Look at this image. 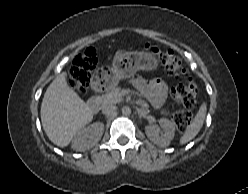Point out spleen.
Segmentation results:
<instances>
[{
	"mask_svg": "<svg viewBox=\"0 0 248 194\" xmlns=\"http://www.w3.org/2000/svg\"><path fill=\"white\" fill-rule=\"evenodd\" d=\"M206 111H207L206 103H203L200 106L199 111L197 112L196 116L192 120L191 124L187 127L183 136L181 137L180 139L181 145L188 143L198 134V132L203 126L205 116H206Z\"/></svg>",
	"mask_w": 248,
	"mask_h": 194,
	"instance_id": "obj_1",
	"label": "spleen"
}]
</instances>
